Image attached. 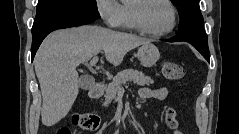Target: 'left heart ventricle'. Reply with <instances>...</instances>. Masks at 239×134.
<instances>
[{
    "mask_svg": "<svg viewBox=\"0 0 239 134\" xmlns=\"http://www.w3.org/2000/svg\"><path fill=\"white\" fill-rule=\"evenodd\" d=\"M142 19L150 30L162 31L171 24V11L162 1L151 0L142 10Z\"/></svg>",
    "mask_w": 239,
    "mask_h": 134,
    "instance_id": "left-heart-ventricle-1",
    "label": "left heart ventricle"
}]
</instances>
